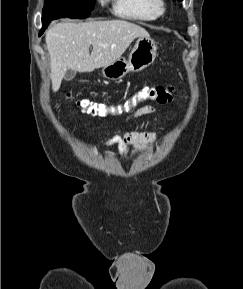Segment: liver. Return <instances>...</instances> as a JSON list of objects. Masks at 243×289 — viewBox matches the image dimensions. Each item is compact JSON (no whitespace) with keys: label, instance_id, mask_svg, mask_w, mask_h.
<instances>
[{"label":"liver","instance_id":"obj_1","mask_svg":"<svg viewBox=\"0 0 243 289\" xmlns=\"http://www.w3.org/2000/svg\"><path fill=\"white\" fill-rule=\"evenodd\" d=\"M147 35L143 27L125 20L63 22L52 26L45 37L52 90H59L68 69L83 73L110 65L121 58L135 38Z\"/></svg>","mask_w":243,"mask_h":289}]
</instances>
